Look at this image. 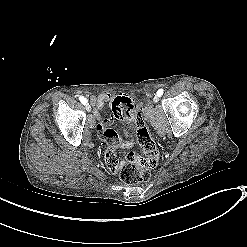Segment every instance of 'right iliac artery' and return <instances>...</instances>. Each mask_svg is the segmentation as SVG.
<instances>
[{"instance_id": "right-iliac-artery-1", "label": "right iliac artery", "mask_w": 247, "mask_h": 247, "mask_svg": "<svg viewBox=\"0 0 247 247\" xmlns=\"http://www.w3.org/2000/svg\"><path fill=\"white\" fill-rule=\"evenodd\" d=\"M79 100H80V102H81L82 104H84V105L87 103L86 98H84L83 96H80V97H79Z\"/></svg>"}]
</instances>
